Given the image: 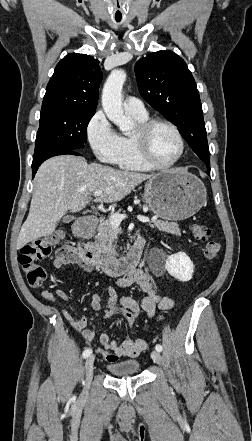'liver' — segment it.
Listing matches in <instances>:
<instances>
[{
	"label": "liver",
	"mask_w": 252,
	"mask_h": 441,
	"mask_svg": "<svg viewBox=\"0 0 252 441\" xmlns=\"http://www.w3.org/2000/svg\"><path fill=\"white\" fill-rule=\"evenodd\" d=\"M153 176L88 164L84 158L71 155L46 160L34 179L30 210L21 227L17 248L51 235L64 214L85 208L95 191H103L95 202H118Z\"/></svg>",
	"instance_id": "obj_1"
}]
</instances>
